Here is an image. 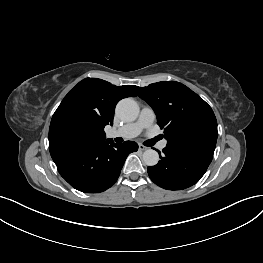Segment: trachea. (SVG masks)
<instances>
[{"label": "trachea", "mask_w": 263, "mask_h": 263, "mask_svg": "<svg viewBox=\"0 0 263 263\" xmlns=\"http://www.w3.org/2000/svg\"><path fill=\"white\" fill-rule=\"evenodd\" d=\"M158 140H159V137H156V138H154L153 140H149V141L145 142L144 144H145L146 146H152V145H154V143H155L156 141H158Z\"/></svg>", "instance_id": "obj_1"}]
</instances>
